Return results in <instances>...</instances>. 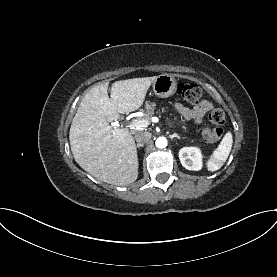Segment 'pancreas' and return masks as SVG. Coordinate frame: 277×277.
I'll return each instance as SVG.
<instances>
[{"instance_id": "cf45deb5", "label": "pancreas", "mask_w": 277, "mask_h": 277, "mask_svg": "<svg viewBox=\"0 0 277 277\" xmlns=\"http://www.w3.org/2000/svg\"><path fill=\"white\" fill-rule=\"evenodd\" d=\"M155 106L156 104L155 103H149V102H146V106H145V115H144V118L147 119V120H150L151 117L154 115L155 113ZM162 112H165V109H162ZM182 128L185 130L186 127L185 125L182 126Z\"/></svg>"}]
</instances>
